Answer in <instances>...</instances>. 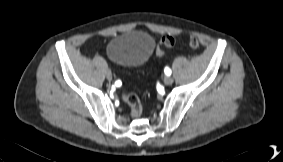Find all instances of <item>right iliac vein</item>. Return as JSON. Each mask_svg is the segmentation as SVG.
<instances>
[{
	"label": "right iliac vein",
	"mask_w": 283,
	"mask_h": 162,
	"mask_svg": "<svg viewBox=\"0 0 283 162\" xmlns=\"http://www.w3.org/2000/svg\"><path fill=\"white\" fill-rule=\"evenodd\" d=\"M106 78H107L108 80H112V73H111L110 70H107V71H106Z\"/></svg>",
	"instance_id": "right-iliac-vein-1"
}]
</instances>
